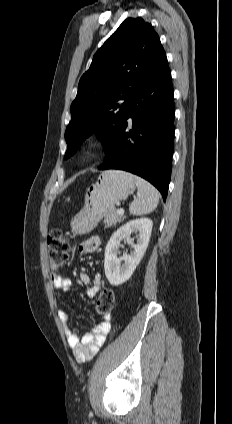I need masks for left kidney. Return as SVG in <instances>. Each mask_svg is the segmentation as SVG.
<instances>
[{"label": "left kidney", "mask_w": 232, "mask_h": 424, "mask_svg": "<svg viewBox=\"0 0 232 424\" xmlns=\"http://www.w3.org/2000/svg\"><path fill=\"white\" fill-rule=\"evenodd\" d=\"M153 222L149 218H140L128 221L111 236L105 248L104 270L109 283L118 286L126 282L139 265L148 247ZM132 233H139L137 244H133V252L126 253L118 258V248L124 238ZM121 261L124 264L121 265Z\"/></svg>", "instance_id": "obj_1"}]
</instances>
